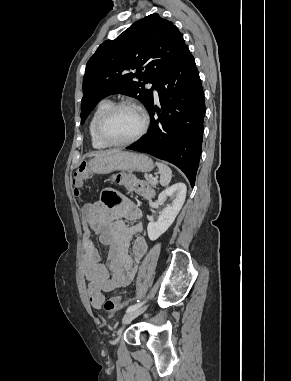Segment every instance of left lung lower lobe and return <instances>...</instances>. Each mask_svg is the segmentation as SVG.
I'll use <instances>...</instances> for the list:
<instances>
[{
  "instance_id": "0a47b994",
  "label": "left lung lower lobe",
  "mask_w": 291,
  "mask_h": 381,
  "mask_svg": "<svg viewBox=\"0 0 291 381\" xmlns=\"http://www.w3.org/2000/svg\"><path fill=\"white\" fill-rule=\"evenodd\" d=\"M162 113L152 99L149 131L127 149L148 153L179 167L195 184L201 155L204 93L194 57L187 48L156 87ZM157 111L158 118L154 117Z\"/></svg>"
}]
</instances>
